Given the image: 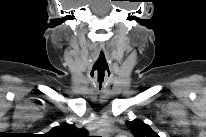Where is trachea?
<instances>
[{
  "label": "trachea",
  "instance_id": "trachea-1",
  "mask_svg": "<svg viewBox=\"0 0 206 137\" xmlns=\"http://www.w3.org/2000/svg\"><path fill=\"white\" fill-rule=\"evenodd\" d=\"M107 63L103 54L100 55L98 61L95 63L93 69L98 71L97 81L99 88L101 89L102 83L104 81V70L107 68Z\"/></svg>",
  "mask_w": 206,
  "mask_h": 137
}]
</instances>
